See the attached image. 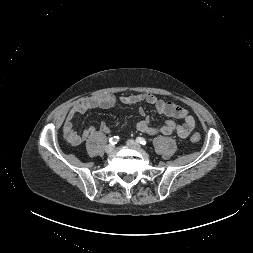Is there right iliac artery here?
Wrapping results in <instances>:
<instances>
[{"label": "right iliac artery", "instance_id": "right-iliac-artery-1", "mask_svg": "<svg viewBox=\"0 0 253 253\" xmlns=\"http://www.w3.org/2000/svg\"><path fill=\"white\" fill-rule=\"evenodd\" d=\"M118 140H119V137L114 136L109 139V142L113 145V144H116L118 142Z\"/></svg>", "mask_w": 253, "mask_h": 253}]
</instances>
